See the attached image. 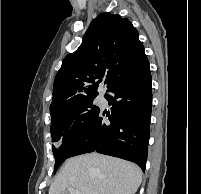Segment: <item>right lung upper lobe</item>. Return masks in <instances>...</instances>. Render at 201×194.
<instances>
[{
    "instance_id": "right-lung-upper-lobe-1",
    "label": "right lung upper lobe",
    "mask_w": 201,
    "mask_h": 194,
    "mask_svg": "<svg viewBox=\"0 0 201 194\" xmlns=\"http://www.w3.org/2000/svg\"><path fill=\"white\" fill-rule=\"evenodd\" d=\"M144 57V46L132 23L119 14L101 13L90 24L80 47L64 58L57 72L51 117L61 116L80 101L96 97L103 77L110 89Z\"/></svg>"
}]
</instances>
